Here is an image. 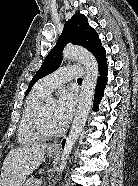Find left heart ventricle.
Listing matches in <instances>:
<instances>
[{
    "label": "left heart ventricle",
    "instance_id": "1",
    "mask_svg": "<svg viewBox=\"0 0 138 186\" xmlns=\"http://www.w3.org/2000/svg\"><path fill=\"white\" fill-rule=\"evenodd\" d=\"M44 128L49 132H55L63 127L57 111V103L50 100L42 118Z\"/></svg>",
    "mask_w": 138,
    "mask_h": 186
}]
</instances>
